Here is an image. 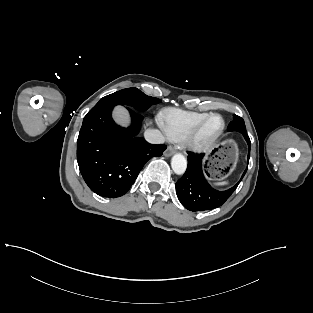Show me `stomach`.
<instances>
[{"label": "stomach", "mask_w": 313, "mask_h": 313, "mask_svg": "<svg viewBox=\"0 0 313 313\" xmlns=\"http://www.w3.org/2000/svg\"><path fill=\"white\" fill-rule=\"evenodd\" d=\"M238 159V147L234 140H226L206 155V170L213 179L226 178L235 168Z\"/></svg>", "instance_id": "obj_1"}]
</instances>
